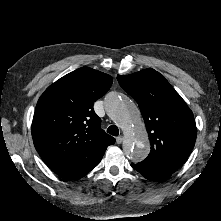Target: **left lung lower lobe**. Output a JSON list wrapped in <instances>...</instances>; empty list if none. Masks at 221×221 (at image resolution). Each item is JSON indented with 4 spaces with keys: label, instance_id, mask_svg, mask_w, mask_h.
Instances as JSON below:
<instances>
[{
    "label": "left lung lower lobe",
    "instance_id": "0a47b994",
    "mask_svg": "<svg viewBox=\"0 0 221 221\" xmlns=\"http://www.w3.org/2000/svg\"><path fill=\"white\" fill-rule=\"evenodd\" d=\"M131 166L134 169H136L139 173H141L145 178L151 181L165 179L172 175V173L170 172L159 170V169H154V168H149V167H144L139 164H131Z\"/></svg>",
    "mask_w": 221,
    "mask_h": 221
}]
</instances>
